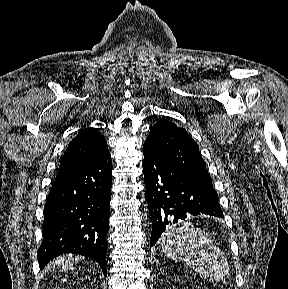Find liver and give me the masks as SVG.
<instances>
[{
    "label": "liver",
    "instance_id": "liver-1",
    "mask_svg": "<svg viewBox=\"0 0 288 289\" xmlns=\"http://www.w3.org/2000/svg\"><path fill=\"white\" fill-rule=\"evenodd\" d=\"M81 260L82 257L78 255L74 254L62 255L52 263V269H56L62 272L68 271L73 268L74 264H77Z\"/></svg>",
    "mask_w": 288,
    "mask_h": 289
}]
</instances>
